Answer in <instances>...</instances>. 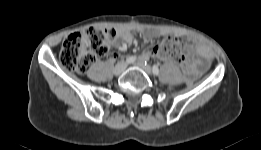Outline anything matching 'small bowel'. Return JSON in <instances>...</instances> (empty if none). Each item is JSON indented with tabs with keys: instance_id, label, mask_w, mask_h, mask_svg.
<instances>
[{
	"instance_id": "c3829d8e",
	"label": "small bowel",
	"mask_w": 261,
	"mask_h": 150,
	"mask_svg": "<svg viewBox=\"0 0 261 150\" xmlns=\"http://www.w3.org/2000/svg\"><path fill=\"white\" fill-rule=\"evenodd\" d=\"M139 31L147 39H152L157 35L156 31L151 30V29H139ZM133 40H134V37L132 34L131 27H121L117 30L116 47L118 49H121V50L125 49L127 45H129L133 42ZM192 42L194 44L192 47V52L196 56H198V59H195L193 61L189 76L195 77L202 69H204L208 65V63L211 59V52L206 46L197 42L196 40L193 39ZM106 56L108 59L111 60L116 55L110 51L107 53ZM149 57H150V53L144 52L141 54L140 59L148 60Z\"/></svg>"
}]
</instances>
